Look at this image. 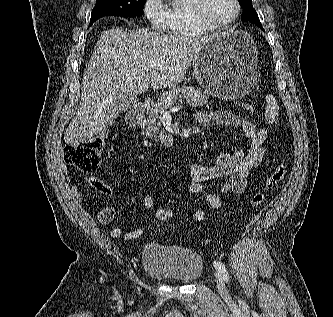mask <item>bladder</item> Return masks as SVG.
<instances>
[{"label":"bladder","instance_id":"bladder-1","mask_svg":"<svg viewBox=\"0 0 333 317\" xmlns=\"http://www.w3.org/2000/svg\"><path fill=\"white\" fill-rule=\"evenodd\" d=\"M145 272L154 278L189 284L203 272V258L196 251L175 246L148 244L142 251Z\"/></svg>","mask_w":333,"mask_h":317}]
</instances>
